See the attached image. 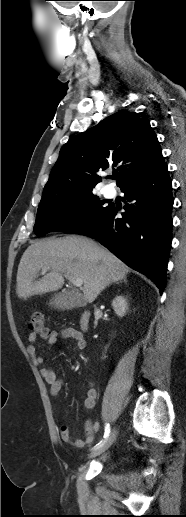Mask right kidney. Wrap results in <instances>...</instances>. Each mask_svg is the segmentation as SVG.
I'll use <instances>...</instances> for the list:
<instances>
[{"mask_svg":"<svg viewBox=\"0 0 186 517\" xmlns=\"http://www.w3.org/2000/svg\"><path fill=\"white\" fill-rule=\"evenodd\" d=\"M112 307L119 317H123L128 309L127 301L123 296H116L112 301Z\"/></svg>","mask_w":186,"mask_h":517,"instance_id":"right-kidney-1","label":"right kidney"}]
</instances>
